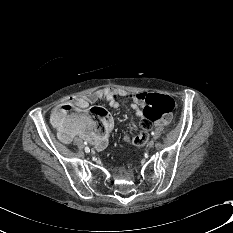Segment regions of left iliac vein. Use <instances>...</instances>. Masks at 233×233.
<instances>
[{"instance_id": "left-iliac-vein-1", "label": "left iliac vein", "mask_w": 233, "mask_h": 233, "mask_svg": "<svg viewBox=\"0 0 233 233\" xmlns=\"http://www.w3.org/2000/svg\"><path fill=\"white\" fill-rule=\"evenodd\" d=\"M148 147H149V148L154 147V141H150V142L148 143Z\"/></svg>"}]
</instances>
